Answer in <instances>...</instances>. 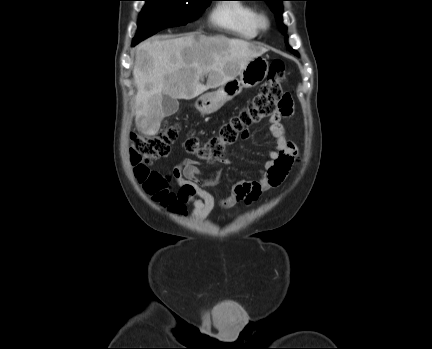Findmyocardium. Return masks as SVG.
Returning a JSON list of instances; mask_svg holds the SVG:
<instances>
[{"instance_id": "1", "label": "myocardium", "mask_w": 432, "mask_h": 349, "mask_svg": "<svg viewBox=\"0 0 432 349\" xmlns=\"http://www.w3.org/2000/svg\"><path fill=\"white\" fill-rule=\"evenodd\" d=\"M256 22L259 30H266L270 26V19L268 15L263 12L257 14Z\"/></svg>"}]
</instances>
